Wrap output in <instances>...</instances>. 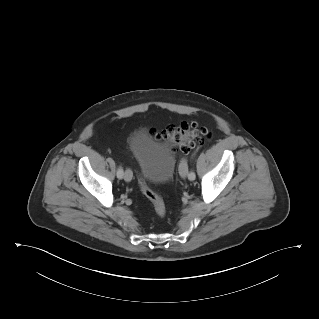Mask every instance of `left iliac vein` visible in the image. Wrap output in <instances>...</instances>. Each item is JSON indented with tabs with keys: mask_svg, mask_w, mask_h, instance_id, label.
Listing matches in <instances>:
<instances>
[{
	"mask_svg": "<svg viewBox=\"0 0 319 319\" xmlns=\"http://www.w3.org/2000/svg\"><path fill=\"white\" fill-rule=\"evenodd\" d=\"M179 173H180L182 178H186V177L189 178L188 166H187L186 160H184V162L181 164V166L179 168Z\"/></svg>",
	"mask_w": 319,
	"mask_h": 319,
	"instance_id": "obj_1",
	"label": "left iliac vein"
}]
</instances>
